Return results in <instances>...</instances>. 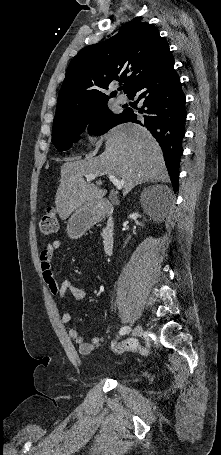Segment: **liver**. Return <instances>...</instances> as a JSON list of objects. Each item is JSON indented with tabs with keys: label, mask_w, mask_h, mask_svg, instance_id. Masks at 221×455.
<instances>
[{
	"label": "liver",
	"mask_w": 221,
	"mask_h": 455,
	"mask_svg": "<svg viewBox=\"0 0 221 455\" xmlns=\"http://www.w3.org/2000/svg\"><path fill=\"white\" fill-rule=\"evenodd\" d=\"M114 175L125 181L123 194L148 181H166L167 170L162 151L151 133L140 125L127 123L114 127L106 135L104 152L82 161H67L61 166L60 185L55 205L59 217L65 220L83 204L99 200L107 191L103 184H89L84 176Z\"/></svg>",
	"instance_id": "1"
}]
</instances>
